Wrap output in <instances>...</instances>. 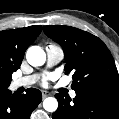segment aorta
<instances>
[{"label":"aorta","instance_id":"762f6f07","mask_svg":"<svg viewBox=\"0 0 119 119\" xmlns=\"http://www.w3.org/2000/svg\"><path fill=\"white\" fill-rule=\"evenodd\" d=\"M27 61L30 65L42 66L46 61V54L39 46H31L26 53ZM43 107L48 112H54L58 108V101L54 97H48L43 101Z\"/></svg>","mask_w":119,"mask_h":119}]
</instances>
